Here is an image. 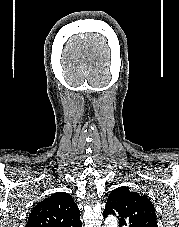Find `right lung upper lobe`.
<instances>
[{
  "instance_id": "obj_1",
  "label": "right lung upper lobe",
  "mask_w": 179,
  "mask_h": 227,
  "mask_svg": "<svg viewBox=\"0 0 179 227\" xmlns=\"http://www.w3.org/2000/svg\"><path fill=\"white\" fill-rule=\"evenodd\" d=\"M26 227H82L80 211L72 196L58 192L33 208Z\"/></svg>"
}]
</instances>
